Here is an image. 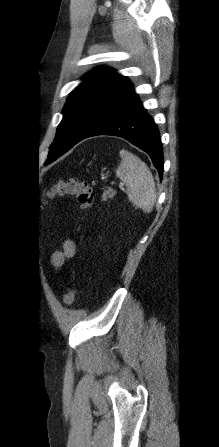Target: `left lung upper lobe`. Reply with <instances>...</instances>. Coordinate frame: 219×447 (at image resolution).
<instances>
[{
  "mask_svg": "<svg viewBox=\"0 0 219 447\" xmlns=\"http://www.w3.org/2000/svg\"><path fill=\"white\" fill-rule=\"evenodd\" d=\"M132 88L126 77L107 67L87 74L82 84L70 93L48 159L83 140Z\"/></svg>",
  "mask_w": 219,
  "mask_h": 447,
  "instance_id": "obj_1",
  "label": "left lung upper lobe"
}]
</instances>
